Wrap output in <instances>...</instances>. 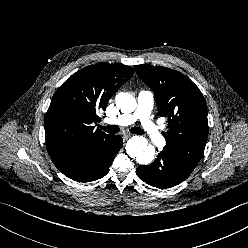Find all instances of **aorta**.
Wrapping results in <instances>:
<instances>
[{"mask_svg": "<svg viewBox=\"0 0 248 248\" xmlns=\"http://www.w3.org/2000/svg\"><path fill=\"white\" fill-rule=\"evenodd\" d=\"M116 106L124 113L135 110L137 102L135 98L126 92H120L115 97ZM126 152L131 158H136L139 164L147 165L152 162L155 155L154 148L148 149V141L142 136H133L127 141Z\"/></svg>", "mask_w": 248, "mask_h": 248, "instance_id": "obj_1", "label": "aorta"}]
</instances>
